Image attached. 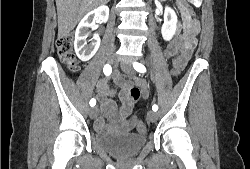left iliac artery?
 <instances>
[{"mask_svg":"<svg viewBox=\"0 0 250 169\" xmlns=\"http://www.w3.org/2000/svg\"><path fill=\"white\" fill-rule=\"evenodd\" d=\"M133 67L138 72H141V73H145L146 72L145 66L143 64H141V63L134 62L133 63ZM152 110L156 112L158 110V106L156 104H154L152 106Z\"/></svg>","mask_w":250,"mask_h":169,"instance_id":"obj_1","label":"left iliac artery"}]
</instances>
